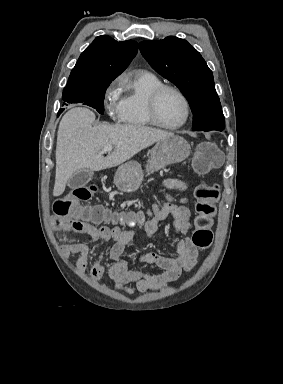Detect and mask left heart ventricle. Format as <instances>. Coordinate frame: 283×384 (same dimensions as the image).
Returning a JSON list of instances; mask_svg holds the SVG:
<instances>
[{
	"label": "left heart ventricle",
	"instance_id": "1",
	"mask_svg": "<svg viewBox=\"0 0 283 384\" xmlns=\"http://www.w3.org/2000/svg\"><path fill=\"white\" fill-rule=\"evenodd\" d=\"M156 114L162 124L166 126L177 125L184 119V104L178 95L166 91L158 100Z\"/></svg>",
	"mask_w": 283,
	"mask_h": 384
}]
</instances>
